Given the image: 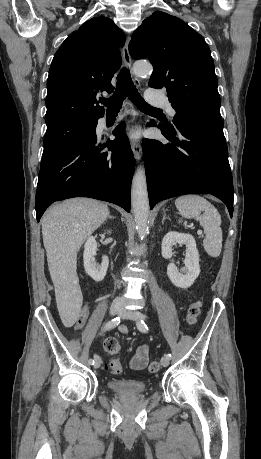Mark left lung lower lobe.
Returning <instances> with one entry per match:
<instances>
[{
    "label": "left lung lower lobe",
    "mask_w": 261,
    "mask_h": 459,
    "mask_svg": "<svg viewBox=\"0 0 261 459\" xmlns=\"http://www.w3.org/2000/svg\"><path fill=\"white\" fill-rule=\"evenodd\" d=\"M148 126H156L151 121ZM170 141H143L150 208L158 201L190 194H212L233 215V180L223 123H190L175 129L159 124Z\"/></svg>",
    "instance_id": "0a47b994"
}]
</instances>
